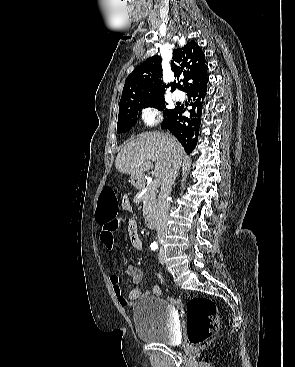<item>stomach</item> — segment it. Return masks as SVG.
<instances>
[{
  "label": "stomach",
  "mask_w": 295,
  "mask_h": 367,
  "mask_svg": "<svg viewBox=\"0 0 295 367\" xmlns=\"http://www.w3.org/2000/svg\"><path fill=\"white\" fill-rule=\"evenodd\" d=\"M131 183L136 188H142L143 187V178L140 176L133 175L131 176Z\"/></svg>",
  "instance_id": "1"
}]
</instances>
